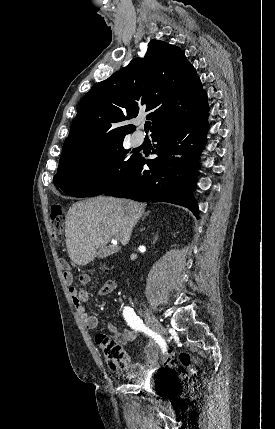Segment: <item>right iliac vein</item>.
<instances>
[{"label": "right iliac vein", "instance_id": "obj_1", "mask_svg": "<svg viewBox=\"0 0 275 429\" xmlns=\"http://www.w3.org/2000/svg\"><path fill=\"white\" fill-rule=\"evenodd\" d=\"M144 315L146 323L151 329H153L159 334H165V328L161 325V323L156 319V317L148 308H145Z\"/></svg>", "mask_w": 275, "mask_h": 429}]
</instances>
